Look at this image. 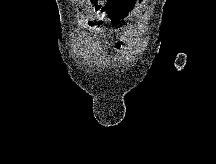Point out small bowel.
<instances>
[{
	"label": "small bowel",
	"mask_w": 216,
	"mask_h": 164,
	"mask_svg": "<svg viewBox=\"0 0 216 164\" xmlns=\"http://www.w3.org/2000/svg\"><path fill=\"white\" fill-rule=\"evenodd\" d=\"M121 47H122L121 43H117L116 48L119 50L121 49Z\"/></svg>",
	"instance_id": "1"
}]
</instances>
